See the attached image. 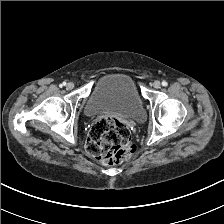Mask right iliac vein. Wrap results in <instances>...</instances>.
I'll return each mask as SVG.
<instances>
[{
  "instance_id": "1",
  "label": "right iliac vein",
  "mask_w": 224,
  "mask_h": 224,
  "mask_svg": "<svg viewBox=\"0 0 224 224\" xmlns=\"http://www.w3.org/2000/svg\"><path fill=\"white\" fill-rule=\"evenodd\" d=\"M67 90H72L74 88V83L73 82H69L66 85Z\"/></svg>"
}]
</instances>
